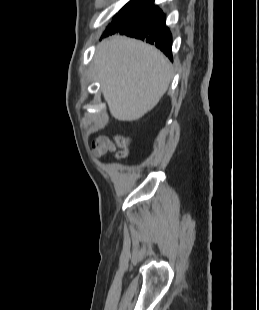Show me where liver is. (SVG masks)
<instances>
[{
  "mask_svg": "<svg viewBox=\"0 0 259 310\" xmlns=\"http://www.w3.org/2000/svg\"><path fill=\"white\" fill-rule=\"evenodd\" d=\"M94 69L111 115L136 121L151 111L167 91L172 70L154 46L127 37L102 41Z\"/></svg>",
  "mask_w": 259,
  "mask_h": 310,
  "instance_id": "liver-1",
  "label": "liver"
}]
</instances>
